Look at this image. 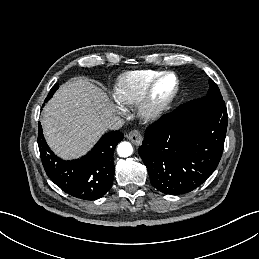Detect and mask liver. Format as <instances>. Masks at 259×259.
I'll return each mask as SVG.
<instances>
[{
  "label": "liver",
  "mask_w": 259,
  "mask_h": 259,
  "mask_svg": "<svg viewBox=\"0 0 259 259\" xmlns=\"http://www.w3.org/2000/svg\"><path fill=\"white\" fill-rule=\"evenodd\" d=\"M115 106L89 80L76 77L60 86L43 109L41 124L47 143L67 160L84 155L107 131Z\"/></svg>",
  "instance_id": "1"
}]
</instances>
